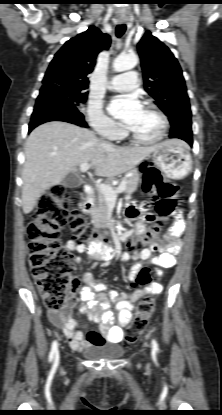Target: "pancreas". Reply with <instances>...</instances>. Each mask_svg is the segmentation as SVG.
I'll use <instances>...</instances> for the list:
<instances>
[{
  "instance_id": "cf45deb5",
  "label": "pancreas",
  "mask_w": 222,
  "mask_h": 415,
  "mask_svg": "<svg viewBox=\"0 0 222 415\" xmlns=\"http://www.w3.org/2000/svg\"><path fill=\"white\" fill-rule=\"evenodd\" d=\"M124 180L126 181V188L124 192L127 195H130L133 192H135L137 189V186L140 180L139 173L137 172V170H133L132 175L126 177ZM109 186L115 189L113 185L110 184ZM108 209L109 207H108V202L106 200V197L103 193L100 192L98 195L97 204L95 205L93 209L92 223L96 226H102V227L108 226V219H107Z\"/></svg>"
}]
</instances>
